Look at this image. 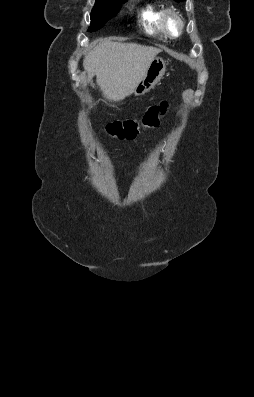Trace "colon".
<instances>
[{
    "mask_svg": "<svg viewBox=\"0 0 254 397\" xmlns=\"http://www.w3.org/2000/svg\"><path fill=\"white\" fill-rule=\"evenodd\" d=\"M167 108L168 103L162 101L148 108L140 120L113 122L107 125L106 130L111 136L118 139H134L142 131L157 127Z\"/></svg>",
    "mask_w": 254,
    "mask_h": 397,
    "instance_id": "colon-1",
    "label": "colon"
}]
</instances>
